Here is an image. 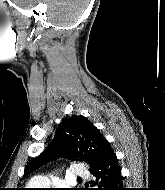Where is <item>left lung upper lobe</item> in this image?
<instances>
[{
    "label": "left lung upper lobe",
    "instance_id": "obj_1",
    "mask_svg": "<svg viewBox=\"0 0 165 190\" xmlns=\"http://www.w3.org/2000/svg\"><path fill=\"white\" fill-rule=\"evenodd\" d=\"M113 153L109 142L84 116H72L61 122L47 148L25 167V179L32 171L59 157L85 161L90 169Z\"/></svg>",
    "mask_w": 165,
    "mask_h": 190
}]
</instances>
